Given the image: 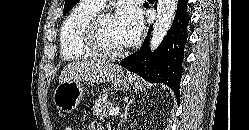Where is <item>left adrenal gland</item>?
<instances>
[{
    "instance_id": "obj_1",
    "label": "left adrenal gland",
    "mask_w": 249,
    "mask_h": 130,
    "mask_svg": "<svg viewBox=\"0 0 249 130\" xmlns=\"http://www.w3.org/2000/svg\"><path fill=\"white\" fill-rule=\"evenodd\" d=\"M128 106L129 104L125 107L124 112L121 114V119L120 122L118 124V126L122 125L124 122H126L127 118H128Z\"/></svg>"
}]
</instances>
